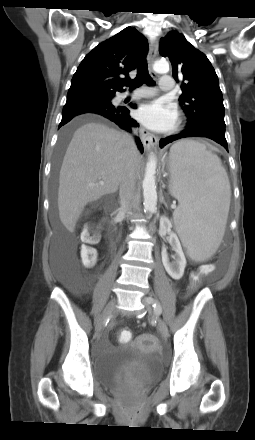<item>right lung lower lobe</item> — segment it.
I'll list each match as a JSON object with an SVG mask.
<instances>
[{
	"mask_svg": "<svg viewBox=\"0 0 255 440\" xmlns=\"http://www.w3.org/2000/svg\"><path fill=\"white\" fill-rule=\"evenodd\" d=\"M112 97H80L67 100L62 111V120L59 128L68 123L72 118L85 114L94 113L102 115L115 122L120 128L131 132V127H137L139 124L129 116V110L123 106H114ZM136 108L135 105H132ZM138 148L143 152V145L138 137L135 139Z\"/></svg>",
	"mask_w": 255,
	"mask_h": 440,
	"instance_id": "right-lung-lower-lobe-1",
	"label": "right lung lower lobe"
}]
</instances>
